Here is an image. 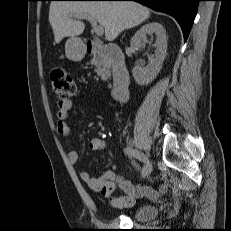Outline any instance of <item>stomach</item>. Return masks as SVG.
Listing matches in <instances>:
<instances>
[{
    "instance_id": "stomach-1",
    "label": "stomach",
    "mask_w": 231,
    "mask_h": 231,
    "mask_svg": "<svg viewBox=\"0 0 231 231\" xmlns=\"http://www.w3.org/2000/svg\"><path fill=\"white\" fill-rule=\"evenodd\" d=\"M66 57L71 61H81L86 53L85 45L80 38L70 37L65 44Z\"/></svg>"
}]
</instances>
